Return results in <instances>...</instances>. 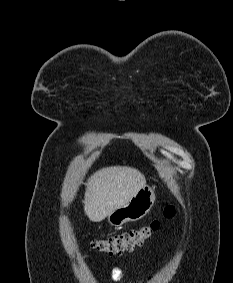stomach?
<instances>
[{"mask_svg": "<svg viewBox=\"0 0 233 283\" xmlns=\"http://www.w3.org/2000/svg\"><path fill=\"white\" fill-rule=\"evenodd\" d=\"M154 201V189L145 185L125 205L111 212L107 216L108 222L110 225L118 227L127 222L140 220L151 210Z\"/></svg>", "mask_w": 233, "mask_h": 283, "instance_id": "stomach-1", "label": "stomach"}]
</instances>
